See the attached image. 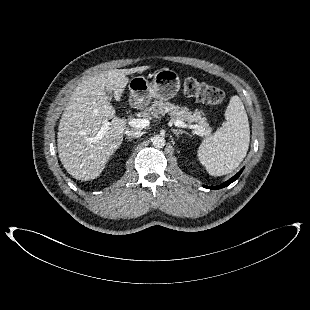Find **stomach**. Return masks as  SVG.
Wrapping results in <instances>:
<instances>
[{
    "label": "stomach",
    "instance_id": "0dacf381",
    "mask_svg": "<svg viewBox=\"0 0 310 310\" xmlns=\"http://www.w3.org/2000/svg\"><path fill=\"white\" fill-rule=\"evenodd\" d=\"M131 98L137 107L147 106L152 98L162 101L174 98L180 89L179 75L168 68L154 72L149 82L143 76L133 77L129 82Z\"/></svg>",
    "mask_w": 310,
    "mask_h": 310
}]
</instances>
